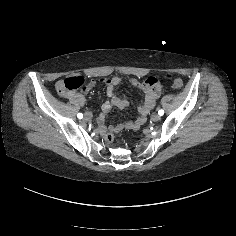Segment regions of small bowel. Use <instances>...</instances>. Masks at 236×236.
Returning <instances> with one entry per match:
<instances>
[{"mask_svg": "<svg viewBox=\"0 0 236 236\" xmlns=\"http://www.w3.org/2000/svg\"><path fill=\"white\" fill-rule=\"evenodd\" d=\"M116 80H118V79H116ZM100 81H101V80H100ZM102 81H103V80H102ZM118 81H119V80H118ZM93 85H94V82H91V83L89 84V88L92 87ZM63 95L66 96V97H68V98H70L71 100L80 99V100H82V102H83V95H82V94H79V93H66V94H63ZM112 95H113L114 97H116L114 91H113V94H112ZM156 95H157V93H156ZM156 95L154 96L153 99L149 100V101L146 103V105H144L143 107L140 108L141 117H140L137 121H135L134 123H131V124H130V128L133 129V128L137 127V126L141 123V121H142V119H143V116L146 115V114L149 112V110L154 106ZM116 98H118V97H116ZM118 99H119L120 101H119V102H113L114 105H117L118 107H125V106H127V101H125V100H123V99H120V98H118Z\"/></svg>", "mask_w": 236, "mask_h": 236, "instance_id": "small-bowel-1", "label": "small bowel"}]
</instances>
